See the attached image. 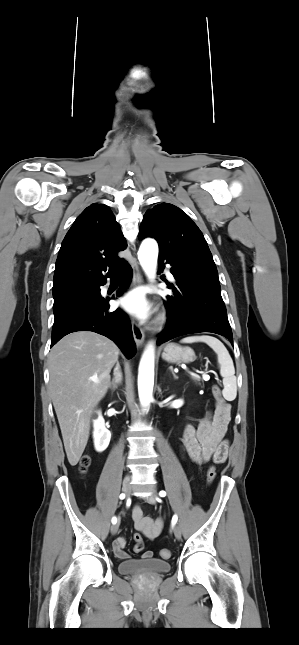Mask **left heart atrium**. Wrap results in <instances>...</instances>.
Masks as SVG:
<instances>
[{"label":"left heart atrium","mask_w":299,"mask_h":645,"mask_svg":"<svg viewBox=\"0 0 299 645\" xmlns=\"http://www.w3.org/2000/svg\"><path fill=\"white\" fill-rule=\"evenodd\" d=\"M119 304L127 312L139 317L145 318L149 312V305L142 291H132L124 295Z\"/></svg>","instance_id":"left-heart-atrium-1"}]
</instances>
